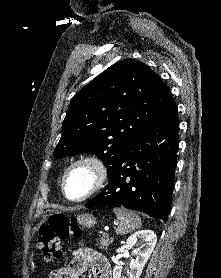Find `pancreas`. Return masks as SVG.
I'll return each mask as SVG.
<instances>
[{"instance_id":"pancreas-1","label":"pancreas","mask_w":221,"mask_h":278,"mask_svg":"<svg viewBox=\"0 0 221 278\" xmlns=\"http://www.w3.org/2000/svg\"><path fill=\"white\" fill-rule=\"evenodd\" d=\"M112 243H113V238H109L107 234H103L102 237H100V240L97 241L96 245H99L101 249H104L105 247H108Z\"/></svg>"}]
</instances>
